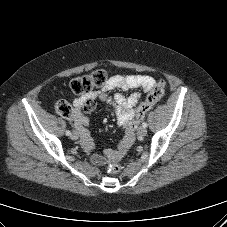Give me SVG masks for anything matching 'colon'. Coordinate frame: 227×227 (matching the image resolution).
Returning <instances> with one entry per match:
<instances>
[{"mask_svg":"<svg viewBox=\"0 0 227 227\" xmlns=\"http://www.w3.org/2000/svg\"><path fill=\"white\" fill-rule=\"evenodd\" d=\"M108 80V74L103 69H98L89 75L80 76L74 78L70 82V88L73 93L77 95H83L90 93L93 89L102 87ZM166 83L163 80H159L155 83L152 90L149 92L146 100L142 103L135 115L137 121L142 120L146 113L153 108L165 93ZM56 112L65 118H70L73 115L72 106L65 100H59L55 104ZM122 170V165L118 160L113 161L108 166V171L111 174H117Z\"/></svg>","mask_w":227,"mask_h":227,"instance_id":"colon-1","label":"colon"}]
</instances>
